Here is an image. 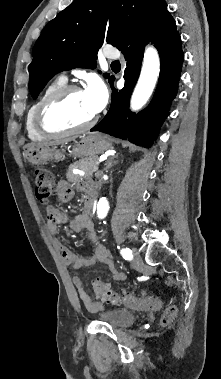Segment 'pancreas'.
Segmentation results:
<instances>
[{"label": "pancreas", "mask_w": 221, "mask_h": 379, "mask_svg": "<svg viewBox=\"0 0 221 379\" xmlns=\"http://www.w3.org/2000/svg\"><path fill=\"white\" fill-rule=\"evenodd\" d=\"M98 162L95 158H84L79 161L72 163L66 173V178L70 182H78L82 177L78 174H74V169L82 170L85 173V176H91L93 172L97 171Z\"/></svg>", "instance_id": "1"}]
</instances>
